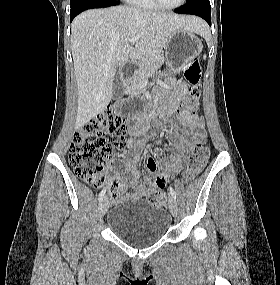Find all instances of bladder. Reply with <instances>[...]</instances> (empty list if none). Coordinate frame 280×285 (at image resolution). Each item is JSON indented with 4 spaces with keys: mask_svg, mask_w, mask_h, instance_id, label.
I'll list each match as a JSON object with an SVG mask.
<instances>
[{
    "mask_svg": "<svg viewBox=\"0 0 280 285\" xmlns=\"http://www.w3.org/2000/svg\"><path fill=\"white\" fill-rule=\"evenodd\" d=\"M107 226L119 238L136 245L165 235L171 224L166 209L141 199L124 200L107 213Z\"/></svg>",
    "mask_w": 280,
    "mask_h": 285,
    "instance_id": "obj_1",
    "label": "bladder"
}]
</instances>
